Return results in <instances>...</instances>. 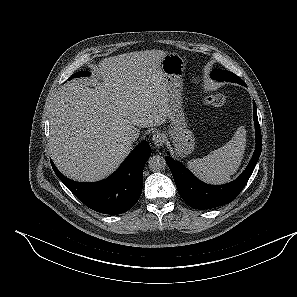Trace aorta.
Wrapping results in <instances>:
<instances>
[{
  "instance_id": "obj_1",
  "label": "aorta",
  "mask_w": 297,
  "mask_h": 297,
  "mask_svg": "<svg viewBox=\"0 0 297 297\" xmlns=\"http://www.w3.org/2000/svg\"><path fill=\"white\" fill-rule=\"evenodd\" d=\"M148 166L154 172L162 171L166 167V161L162 156L154 155L149 158Z\"/></svg>"
}]
</instances>
